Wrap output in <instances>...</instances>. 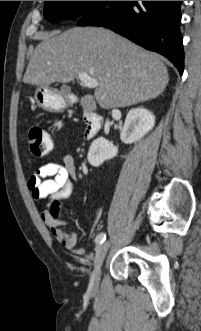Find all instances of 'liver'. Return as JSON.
I'll use <instances>...</instances> for the list:
<instances>
[{"mask_svg": "<svg viewBox=\"0 0 201 331\" xmlns=\"http://www.w3.org/2000/svg\"><path fill=\"white\" fill-rule=\"evenodd\" d=\"M87 73L99 85L80 104L95 111L132 106L158 97L169 82L166 66L151 52L104 28L76 27L46 34L35 48L23 82L39 87L68 83Z\"/></svg>", "mask_w": 201, "mask_h": 331, "instance_id": "1", "label": "liver"}]
</instances>
